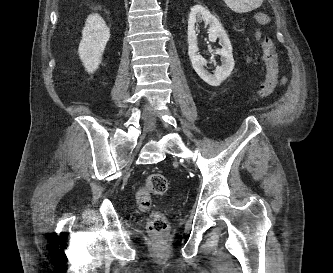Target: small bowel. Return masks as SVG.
Wrapping results in <instances>:
<instances>
[{
  "label": "small bowel",
  "instance_id": "obj_1",
  "mask_svg": "<svg viewBox=\"0 0 333 273\" xmlns=\"http://www.w3.org/2000/svg\"><path fill=\"white\" fill-rule=\"evenodd\" d=\"M256 37L257 38H259L260 37V33L259 32H257L256 33ZM248 61L250 62L251 61V59L250 58H248ZM286 82V78H283V80H282V83H285Z\"/></svg>",
  "mask_w": 333,
  "mask_h": 273
}]
</instances>
